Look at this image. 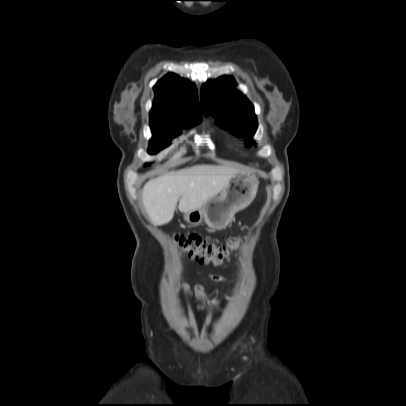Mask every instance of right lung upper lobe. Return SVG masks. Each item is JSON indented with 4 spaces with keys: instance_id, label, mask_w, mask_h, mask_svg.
<instances>
[{
    "instance_id": "right-lung-upper-lobe-1",
    "label": "right lung upper lobe",
    "mask_w": 406,
    "mask_h": 406,
    "mask_svg": "<svg viewBox=\"0 0 406 406\" xmlns=\"http://www.w3.org/2000/svg\"><path fill=\"white\" fill-rule=\"evenodd\" d=\"M153 89L155 98L150 123L185 124L202 118L196 87L188 80L169 73Z\"/></svg>"
}]
</instances>
